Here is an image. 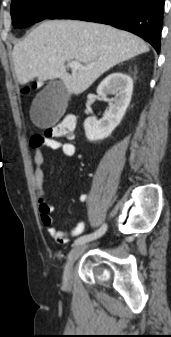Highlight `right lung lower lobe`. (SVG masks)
Segmentation results:
<instances>
[{"mask_svg":"<svg viewBox=\"0 0 171 337\" xmlns=\"http://www.w3.org/2000/svg\"><path fill=\"white\" fill-rule=\"evenodd\" d=\"M164 0H71L49 19L104 23L130 31L159 52Z\"/></svg>","mask_w":171,"mask_h":337,"instance_id":"right-lung-lower-lobe-1","label":"right lung lower lobe"}]
</instances>
